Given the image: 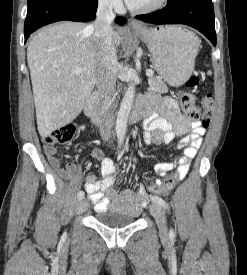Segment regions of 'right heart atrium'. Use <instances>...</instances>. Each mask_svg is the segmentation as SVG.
<instances>
[{
    "label": "right heart atrium",
    "mask_w": 247,
    "mask_h": 275,
    "mask_svg": "<svg viewBox=\"0 0 247 275\" xmlns=\"http://www.w3.org/2000/svg\"><path fill=\"white\" fill-rule=\"evenodd\" d=\"M98 3L106 10H119L122 7V0H98Z\"/></svg>",
    "instance_id": "right-heart-atrium-1"
}]
</instances>
